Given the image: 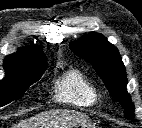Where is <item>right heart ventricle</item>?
<instances>
[{
  "mask_svg": "<svg viewBox=\"0 0 142 128\" xmlns=\"http://www.w3.org/2000/svg\"><path fill=\"white\" fill-rule=\"evenodd\" d=\"M55 97L59 102L89 107L98 103L99 94L84 73L71 69L55 83Z\"/></svg>",
  "mask_w": 142,
  "mask_h": 128,
  "instance_id": "1",
  "label": "right heart ventricle"
}]
</instances>
